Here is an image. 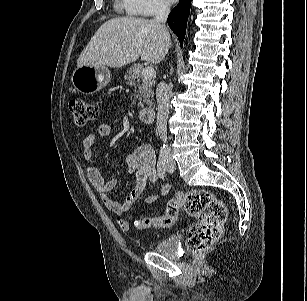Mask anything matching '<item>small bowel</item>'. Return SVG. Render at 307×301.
I'll return each instance as SVG.
<instances>
[{
  "label": "small bowel",
  "mask_w": 307,
  "mask_h": 301,
  "mask_svg": "<svg viewBox=\"0 0 307 301\" xmlns=\"http://www.w3.org/2000/svg\"><path fill=\"white\" fill-rule=\"evenodd\" d=\"M112 134V127L108 123L101 124L96 131L89 132L82 141V154L86 163L90 164L93 160V147L98 139L108 137ZM129 172L135 173L137 177L136 186L122 202H117L111 198L110 192L116 187L118 181L111 179L105 181L98 169L89 165L87 168V177L92 186L101 195L105 207L118 216L119 228L127 232L130 229L129 221L123 217L134 203L142 195L146 183H155L159 180V172L156 163V155L150 145H140L134 152L125 155ZM170 192L167 183H163L157 193L147 195L144 199L146 205H152L159 197H166Z\"/></svg>",
  "instance_id": "obj_1"
}]
</instances>
